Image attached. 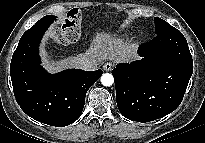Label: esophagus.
Segmentation results:
<instances>
[{"label":"esophagus","instance_id":"34e87169","mask_svg":"<svg viewBox=\"0 0 205 143\" xmlns=\"http://www.w3.org/2000/svg\"><path fill=\"white\" fill-rule=\"evenodd\" d=\"M113 64L111 62H106L104 65H103V69L105 71H111L113 69Z\"/></svg>","mask_w":205,"mask_h":143}]
</instances>
